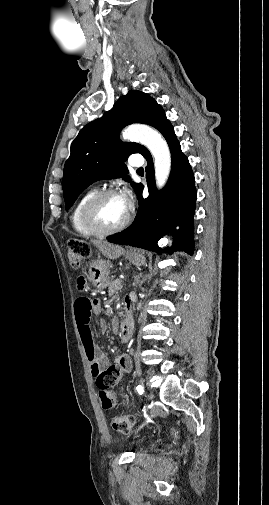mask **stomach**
<instances>
[{"label": "stomach", "instance_id": "stomach-1", "mask_svg": "<svg viewBox=\"0 0 269 505\" xmlns=\"http://www.w3.org/2000/svg\"><path fill=\"white\" fill-rule=\"evenodd\" d=\"M125 258L132 264L138 266L145 262V256L143 252L139 250L126 252ZM111 268V262L102 259L93 261L89 264V281L94 288L103 290L110 285L109 273Z\"/></svg>", "mask_w": 269, "mask_h": 505}]
</instances>
